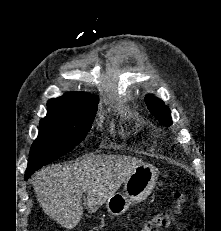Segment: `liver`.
Wrapping results in <instances>:
<instances>
[{"label":"liver","instance_id":"liver-1","mask_svg":"<svg viewBox=\"0 0 221 231\" xmlns=\"http://www.w3.org/2000/svg\"><path fill=\"white\" fill-rule=\"evenodd\" d=\"M142 164L131 156L90 155L73 164L40 170L33 178L34 191L45 213L62 227L72 229L83 216V193L89 213H94Z\"/></svg>","mask_w":221,"mask_h":231}]
</instances>
